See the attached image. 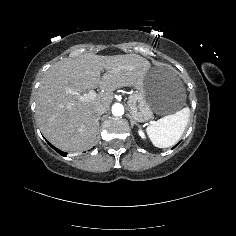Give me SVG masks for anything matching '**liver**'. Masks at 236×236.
I'll list each match as a JSON object with an SVG mask.
<instances>
[{
  "mask_svg": "<svg viewBox=\"0 0 236 236\" xmlns=\"http://www.w3.org/2000/svg\"><path fill=\"white\" fill-rule=\"evenodd\" d=\"M105 71L101 74V71ZM151 63L137 54L100 56L84 53L51 66L41 79L36 99V122L44 137L62 151H85L94 145L97 119L94 108L109 110L112 91L142 83ZM99 88V94L84 102L66 92L82 93Z\"/></svg>",
  "mask_w": 236,
  "mask_h": 236,
  "instance_id": "obj_1",
  "label": "liver"
}]
</instances>
